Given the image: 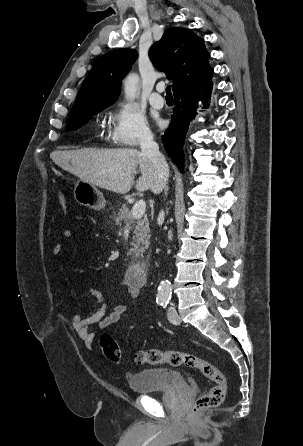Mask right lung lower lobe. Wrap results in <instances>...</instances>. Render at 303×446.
<instances>
[{
  "label": "right lung lower lobe",
  "instance_id": "right-lung-lower-lobe-1",
  "mask_svg": "<svg viewBox=\"0 0 303 446\" xmlns=\"http://www.w3.org/2000/svg\"><path fill=\"white\" fill-rule=\"evenodd\" d=\"M213 82L212 75L184 86L174 92L175 107L169 128L162 135L166 152L183 173V143L190 120L196 115L197 102L208 107Z\"/></svg>",
  "mask_w": 303,
  "mask_h": 446
}]
</instances>
